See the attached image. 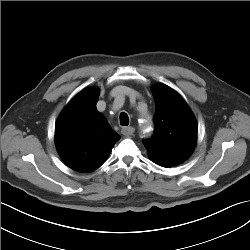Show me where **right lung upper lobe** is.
<instances>
[{
    "instance_id": "right-lung-upper-lobe-1",
    "label": "right lung upper lobe",
    "mask_w": 250,
    "mask_h": 250,
    "mask_svg": "<svg viewBox=\"0 0 250 250\" xmlns=\"http://www.w3.org/2000/svg\"><path fill=\"white\" fill-rule=\"evenodd\" d=\"M98 92H79L64 108L55 127V144L62 160L79 172L100 167L120 136L96 109Z\"/></svg>"
}]
</instances>
